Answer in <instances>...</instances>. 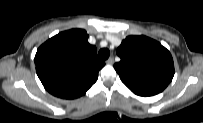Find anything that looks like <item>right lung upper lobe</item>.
<instances>
[{
    "instance_id": "1",
    "label": "right lung upper lobe",
    "mask_w": 203,
    "mask_h": 123,
    "mask_svg": "<svg viewBox=\"0 0 203 123\" xmlns=\"http://www.w3.org/2000/svg\"><path fill=\"white\" fill-rule=\"evenodd\" d=\"M35 64L45 89L64 99L84 95L105 65L98 60L97 49L88 43L83 29H71L50 38L38 48Z\"/></svg>"
}]
</instances>
